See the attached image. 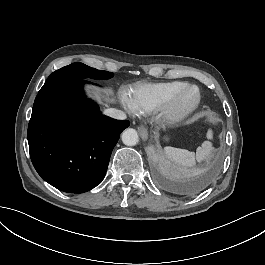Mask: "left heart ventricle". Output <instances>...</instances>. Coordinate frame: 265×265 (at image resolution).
<instances>
[{"instance_id": "1", "label": "left heart ventricle", "mask_w": 265, "mask_h": 265, "mask_svg": "<svg viewBox=\"0 0 265 265\" xmlns=\"http://www.w3.org/2000/svg\"><path fill=\"white\" fill-rule=\"evenodd\" d=\"M195 96H196V90L193 88L189 89L183 97V103L185 104L191 103L194 100Z\"/></svg>"}]
</instances>
